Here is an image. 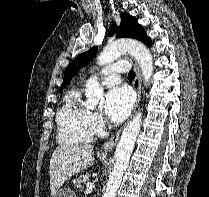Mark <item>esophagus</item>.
<instances>
[{
  "label": "esophagus",
  "mask_w": 209,
  "mask_h": 197,
  "mask_svg": "<svg viewBox=\"0 0 209 197\" xmlns=\"http://www.w3.org/2000/svg\"><path fill=\"white\" fill-rule=\"evenodd\" d=\"M131 61H132L133 68H134V71L136 74L134 82H133V86H134L136 93H137V100H136L134 110H133V112H135V110L138 106V103L141 99V72H140L139 66L136 63V61H134V60H131ZM122 129L123 128H120L105 144H103L101 146V149L103 151H105V152L112 151L115 148V146L119 140V137L122 133Z\"/></svg>",
  "instance_id": "34e87169"
}]
</instances>
